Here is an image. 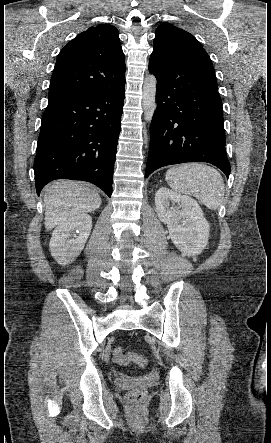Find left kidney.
Returning a JSON list of instances; mask_svg holds the SVG:
<instances>
[{
    "label": "left kidney",
    "mask_w": 271,
    "mask_h": 443,
    "mask_svg": "<svg viewBox=\"0 0 271 443\" xmlns=\"http://www.w3.org/2000/svg\"><path fill=\"white\" fill-rule=\"evenodd\" d=\"M155 208L159 220L167 223L174 245L184 255H198L205 249L209 223L193 198L180 196L168 188H159L155 194Z\"/></svg>",
    "instance_id": "5707ae66"
}]
</instances>
